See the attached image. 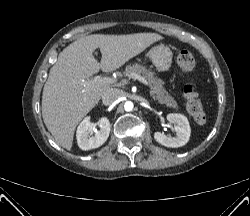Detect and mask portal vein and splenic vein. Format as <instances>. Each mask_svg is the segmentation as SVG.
Returning a JSON list of instances; mask_svg holds the SVG:
<instances>
[{
  "instance_id": "portal-vein-and-splenic-vein-1",
  "label": "portal vein and splenic vein",
  "mask_w": 250,
  "mask_h": 216,
  "mask_svg": "<svg viewBox=\"0 0 250 216\" xmlns=\"http://www.w3.org/2000/svg\"><path fill=\"white\" fill-rule=\"evenodd\" d=\"M130 78L138 80L139 82L143 83L145 86H149L148 82L139 74L132 73V74H130ZM116 82H117V80L115 78L97 76L93 80L85 82L84 87L85 86L100 87V86H104V85L113 84Z\"/></svg>"
}]
</instances>
